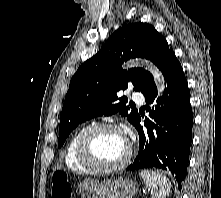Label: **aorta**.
I'll return each mask as SVG.
<instances>
[{
  "mask_svg": "<svg viewBox=\"0 0 221 198\" xmlns=\"http://www.w3.org/2000/svg\"><path fill=\"white\" fill-rule=\"evenodd\" d=\"M151 72L153 73L155 80L160 84L162 83L161 73L156 68H151Z\"/></svg>",
  "mask_w": 221,
  "mask_h": 198,
  "instance_id": "obj_1",
  "label": "aorta"
}]
</instances>
